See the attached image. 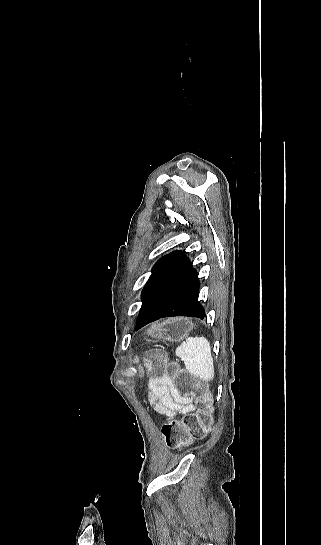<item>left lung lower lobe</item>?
<instances>
[{
	"label": "left lung lower lobe",
	"instance_id": "left-lung-lower-lobe-1",
	"mask_svg": "<svg viewBox=\"0 0 321 545\" xmlns=\"http://www.w3.org/2000/svg\"><path fill=\"white\" fill-rule=\"evenodd\" d=\"M198 272L182 251L169 253L142 290V307L135 329L163 317L188 316L204 319L198 301Z\"/></svg>",
	"mask_w": 321,
	"mask_h": 545
}]
</instances>
